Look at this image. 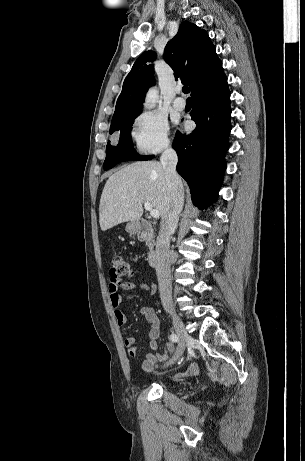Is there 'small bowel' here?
Returning <instances> with one entry per match:
<instances>
[{
    "mask_svg": "<svg viewBox=\"0 0 305 461\" xmlns=\"http://www.w3.org/2000/svg\"><path fill=\"white\" fill-rule=\"evenodd\" d=\"M141 289L146 291L149 295H154L156 292V286L152 283H135L130 280H110L108 293L110 298V303L114 312V317L116 322L119 325H123L126 322V317L120 309L121 304V294L120 290H134ZM143 317L151 325L149 332V346L153 352L148 353L145 359L141 363V369L145 372H152L155 365L158 362L165 361L170 354L173 353L174 347L172 344L168 343L164 347V353L159 352V346L157 339L160 334V320L155 310L152 307L144 306L140 310ZM125 347L127 352L131 356H135L137 353V342L134 337H127L124 340ZM199 372L198 364H192L186 372L180 373L178 377H189L195 376Z\"/></svg>",
    "mask_w": 305,
    "mask_h": 461,
    "instance_id": "small-bowel-1",
    "label": "small bowel"
}]
</instances>
